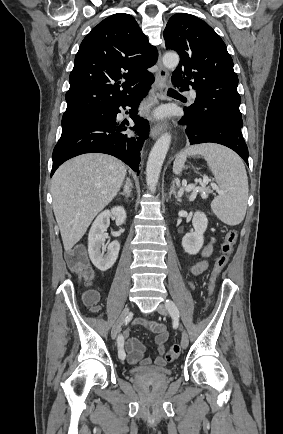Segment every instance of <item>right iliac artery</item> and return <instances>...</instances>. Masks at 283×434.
<instances>
[{
  "mask_svg": "<svg viewBox=\"0 0 283 434\" xmlns=\"http://www.w3.org/2000/svg\"><path fill=\"white\" fill-rule=\"evenodd\" d=\"M122 341H123V337H122V335H120L118 337V342H117V345H118V356H119L120 359H125V353H123V351L121 350V348H122Z\"/></svg>",
  "mask_w": 283,
  "mask_h": 434,
  "instance_id": "right-iliac-artery-1",
  "label": "right iliac artery"
}]
</instances>
